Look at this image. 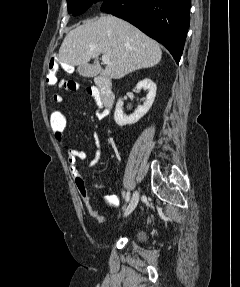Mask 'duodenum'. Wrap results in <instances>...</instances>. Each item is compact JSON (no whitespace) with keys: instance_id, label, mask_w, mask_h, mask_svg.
<instances>
[{"instance_id":"duodenum-1","label":"duodenum","mask_w":240,"mask_h":287,"mask_svg":"<svg viewBox=\"0 0 240 287\" xmlns=\"http://www.w3.org/2000/svg\"><path fill=\"white\" fill-rule=\"evenodd\" d=\"M100 99L105 108L110 109L114 105L115 95L112 89V81L107 77H100L96 81Z\"/></svg>"}]
</instances>
